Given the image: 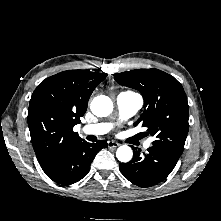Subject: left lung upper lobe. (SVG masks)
I'll return each instance as SVG.
<instances>
[{"mask_svg": "<svg viewBox=\"0 0 221 221\" xmlns=\"http://www.w3.org/2000/svg\"><path fill=\"white\" fill-rule=\"evenodd\" d=\"M114 78L142 94L144 112L135 125L147 127L155 138L153 146L181 156L189 129V106L182 85L158 69L116 73Z\"/></svg>", "mask_w": 221, "mask_h": 221, "instance_id": "5c2ea615", "label": "left lung upper lobe"}]
</instances>
